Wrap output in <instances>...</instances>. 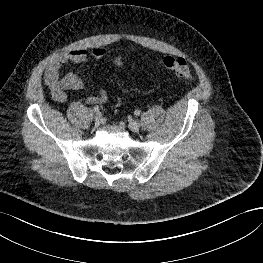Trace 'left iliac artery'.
I'll use <instances>...</instances> for the list:
<instances>
[{"instance_id": "1", "label": "left iliac artery", "mask_w": 263, "mask_h": 263, "mask_svg": "<svg viewBox=\"0 0 263 263\" xmlns=\"http://www.w3.org/2000/svg\"><path fill=\"white\" fill-rule=\"evenodd\" d=\"M134 114L137 115V116H139V115H140V111H139V110H135V111H134Z\"/></svg>"}]
</instances>
